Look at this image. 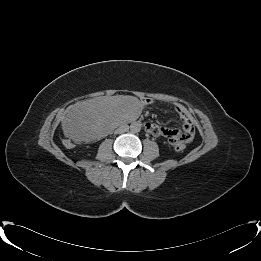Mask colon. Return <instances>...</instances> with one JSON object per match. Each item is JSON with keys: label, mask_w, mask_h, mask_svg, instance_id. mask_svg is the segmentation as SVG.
I'll return each instance as SVG.
<instances>
[{"label": "colon", "mask_w": 261, "mask_h": 261, "mask_svg": "<svg viewBox=\"0 0 261 261\" xmlns=\"http://www.w3.org/2000/svg\"><path fill=\"white\" fill-rule=\"evenodd\" d=\"M169 140L177 151H183L186 147V141L183 136H171Z\"/></svg>", "instance_id": "obj_1"}]
</instances>
